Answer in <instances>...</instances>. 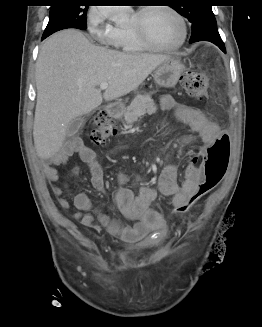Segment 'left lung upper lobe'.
<instances>
[{
  "label": "left lung upper lobe",
  "instance_id": "1",
  "mask_svg": "<svg viewBox=\"0 0 262 327\" xmlns=\"http://www.w3.org/2000/svg\"><path fill=\"white\" fill-rule=\"evenodd\" d=\"M203 4L179 6L173 5V8L182 16L187 18L192 23V30L198 26H204L208 23L210 18L214 19L212 7L206 4V1H201Z\"/></svg>",
  "mask_w": 262,
  "mask_h": 327
}]
</instances>
